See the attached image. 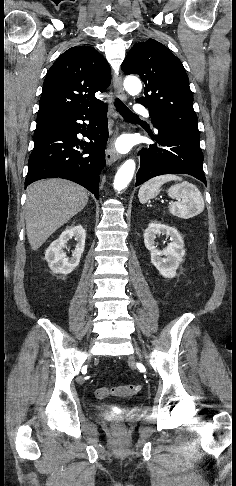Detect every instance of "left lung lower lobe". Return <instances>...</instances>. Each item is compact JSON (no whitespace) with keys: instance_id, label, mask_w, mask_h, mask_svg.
I'll return each mask as SVG.
<instances>
[{"instance_id":"0a47b994","label":"left lung lower lobe","mask_w":236,"mask_h":486,"mask_svg":"<svg viewBox=\"0 0 236 486\" xmlns=\"http://www.w3.org/2000/svg\"><path fill=\"white\" fill-rule=\"evenodd\" d=\"M154 126L159 132L158 135L151 134L156 143L140 151V168L135 186L155 176L175 173L192 175L206 185L199 131L160 121H156Z\"/></svg>"}]
</instances>
